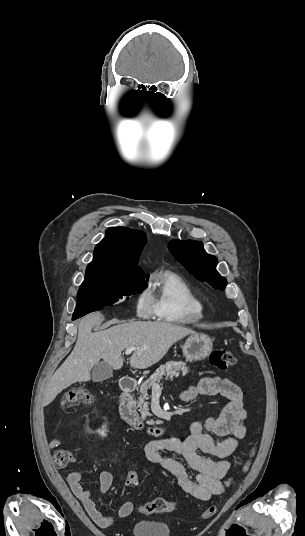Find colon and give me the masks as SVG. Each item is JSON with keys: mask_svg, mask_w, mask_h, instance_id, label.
I'll list each match as a JSON object with an SVG mask.
<instances>
[{"mask_svg": "<svg viewBox=\"0 0 305 536\" xmlns=\"http://www.w3.org/2000/svg\"><path fill=\"white\" fill-rule=\"evenodd\" d=\"M210 362L220 370H226L231 367L235 362V357L227 350L223 348H215L210 356ZM93 402V395L84 389H72L67 391L62 398V406L70 408L80 403L90 404ZM53 458L58 464H63V468L66 471H71L74 468V463L71 460H67L68 453L65 448H58L53 453ZM139 475L137 468H132L130 474L126 476V483L128 486L133 487L136 485L137 480L135 477ZM175 509V503L165 498H155L153 500L144 502L140 505L139 510L143 514L154 513H170ZM216 505L209 506L203 513L202 518L208 519L214 516L217 512Z\"/></svg>", "mask_w": 305, "mask_h": 536, "instance_id": "5ec220e1", "label": "colon"}]
</instances>
